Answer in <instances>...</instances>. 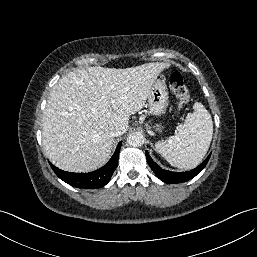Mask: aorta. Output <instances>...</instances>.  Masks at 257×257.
<instances>
[{
	"mask_svg": "<svg viewBox=\"0 0 257 257\" xmlns=\"http://www.w3.org/2000/svg\"><path fill=\"white\" fill-rule=\"evenodd\" d=\"M127 143L132 147H140L144 144V137L138 132L130 134L127 138Z\"/></svg>",
	"mask_w": 257,
	"mask_h": 257,
	"instance_id": "762f6f07",
	"label": "aorta"
}]
</instances>
